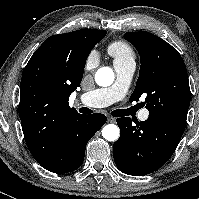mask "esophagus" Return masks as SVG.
<instances>
[{
  "mask_svg": "<svg viewBox=\"0 0 199 199\" xmlns=\"http://www.w3.org/2000/svg\"><path fill=\"white\" fill-rule=\"evenodd\" d=\"M107 121L109 123H114L116 121V119L114 117H108Z\"/></svg>",
  "mask_w": 199,
  "mask_h": 199,
  "instance_id": "obj_1",
  "label": "esophagus"
}]
</instances>
